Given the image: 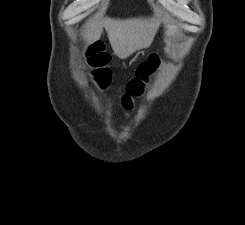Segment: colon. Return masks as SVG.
I'll list each match as a JSON object with an SVG mask.
<instances>
[{
  "instance_id": "colon-1",
  "label": "colon",
  "mask_w": 245,
  "mask_h": 225,
  "mask_svg": "<svg viewBox=\"0 0 245 225\" xmlns=\"http://www.w3.org/2000/svg\"><path fill=\"white\" fill-rule=\"evenodd\" d=\"M88 55L94 57V66L97 68L96 77L98 78L101 87L105 88L110 82L111 72L106 68V54L104 46L101 43H95L88 51ZM153 58L142 62L135 71L133 77L127 84L126 92L123 96L124 102H129L132 95H137L141 91V82L147 77L152 67ZM128 118V117H127Z\"/></svg>"
}]
</instances>
